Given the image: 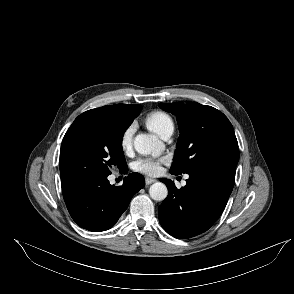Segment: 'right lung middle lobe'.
Here are the masks:
<instances>
[{
  "label": "right lung middle lobe",
  "instance_id": "1",
  "mask_svg": "<svg viewBox=\"0 0 294 294\" xmlns=\"http://www.w3.org/2000/svg\"><path fill=\"white\" fill-rule=\"evenodd\" d=\"M132 122L100 109L79 115L61 144V182L108 176L113 167H127L122 139Z\"/></svg>",
  "mask_w": 294,
  "mask_h": 294
}]
</instances>
